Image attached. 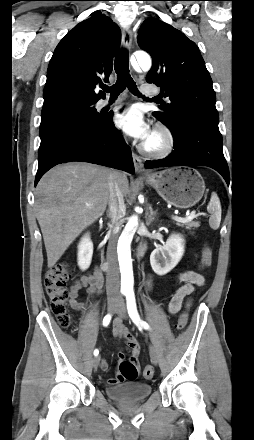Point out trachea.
<instances>
[{
  "label": "trachea",
  "instance_id": "1",
  "mask_svg": "<svg viewBox=\"0 0 254 440\" xmlns=\"http://www.w3.org/2000/svg\"><path fill=\"white\" fill-rule=\"evenodd\" d=\"M115 72L117 81L111 87L104 86L103 90L110 93L111 98H117L118 95L127 87L133 94L139 95L137 86L129 73V55L126 49H121L115 57ZM154 100L159 98L155 97Z\"/></svg>",
  "mask_w": 254,
  "mask_h": 440
}]
</instances>
